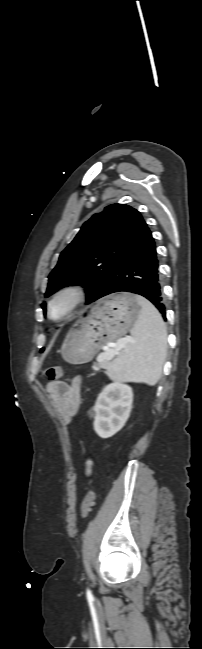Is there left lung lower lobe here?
<instances>
[{
	"instance_id": "left-lung-lower-lobe-1",
	"label": "left lung lower lobe",
	"mask_w": 202,
	"mask_h": 649,
	"mask_svg": "<svg viewBox=\"0 0 202 649\" xmlns=\"http://www.w3.org/2000/svg\"><path fill=\"white\" fill-rule=\"evenodd\" d=\"M121 291L146 297L166 320L155 242L145 221L125 246L97 299Z\"/></svg>"
}]
</instances>
